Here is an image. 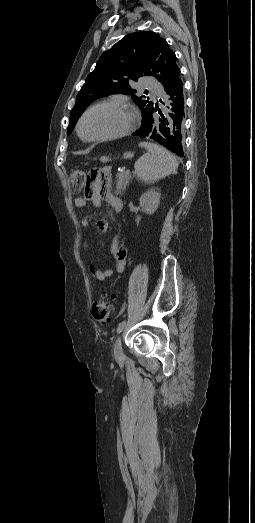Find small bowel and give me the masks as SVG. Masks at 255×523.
<instances>
[{"instance_id": "small-bowel-1", "label": "small bowel", "mask_w": 255, "mask_h": 523, "mask_svg": "<svg viewBox=\"0 0 255 523\" xmlns=\"http://www.w3.org/2000/svg\"><path fill=\"white\" fill-rule=\"evenodd\" d=\"M90 178L92 180H94V175L91 174ZM101 198H104L114 209H115V207H114L115 203L118 202L122 209V201L119 198L113 196L109 192L107 185H104V187H102L99 191L95 190L94 188L91 189L90 192L87 193L86 197L76 198L75 206L77 208H84L87 204V201H91L94 204H99ZM80 223H81V226L84 229V231L88 232L89 227H90L88 219L82 218ZM95 226L101 232H106L109 228L108 222L104 219L96 220ZM82 248H83L84 252H86L88 249V241H87L86 236L82 237ZM111 253L115 258V265H114L115 271L117 273L121 274L124 271L125 264H126V256H127L126 246L124 245L123 242L115 240L111 246ZM89 271H90V274L93 277V279L96 281H105L114 272V270L112 268H109L106 270H100L93 264H91L89 266Z\"/></svg>"}]
</instances>
